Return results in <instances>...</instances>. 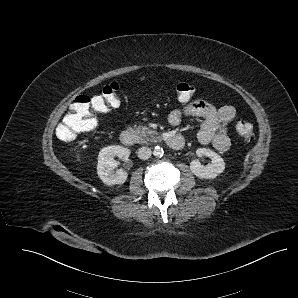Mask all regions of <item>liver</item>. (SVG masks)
Instances as JSON below:
<instances>
[{"mask_svg":"<svg viewBox=\"0 0 298 298\" xmlns=\"http://www.w3.org/2000/svg\"><path fill=\"white\" fill-rule=\"evenodd\" d=\"M76 156H77V160L80 161L79 154H77Z\"/></svg>","mask_w":298,"mask_h":298,"instance_id":"obj_1","label":"liver"}]
</instances>
